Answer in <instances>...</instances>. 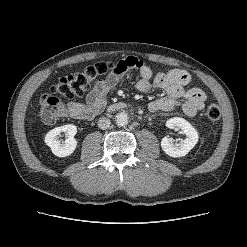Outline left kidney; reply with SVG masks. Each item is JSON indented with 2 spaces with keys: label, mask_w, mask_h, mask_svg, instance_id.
I'll use <instances>...</instances> for the list:
<instances>
[{
  "label": "left kidney",
  "mask_w": 247,
  "mask_h": 247,
  "mask_svg": "<svg viewBox=\"0 0 247 247\" xmlns=\"http://www.w3.org/2000/svg\"><path fill=\"white\" fill-rule=\"evenodd\" d=\"M166 126L170 129H180L186 138L177 140L178 143H174V140L169 137H164L161 140L162 150L171 157H182L188 154L198 142V133L192 127V125L183 118L174 117L166 122Z\"/></svg>",
  "instance_id": "1"
}]
</instances>
